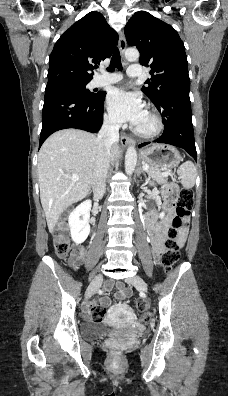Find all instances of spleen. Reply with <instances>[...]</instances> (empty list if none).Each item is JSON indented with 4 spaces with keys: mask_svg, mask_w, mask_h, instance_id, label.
<instances>
[{
    "mask_svg": "<svg viewBox=\"0 0 228 396\" xmlns=\"http://www.w3.org/2000/svg\"><path fill=\"white\" fill-rule=\"evenodd\" d=\"M179 179L184 188L190 189L195 185L196 169L191 161L183 163L177 170Z\"/></svg>",
    "mask_w": 228,
    "mask_h": 396,
    "instance_id": "spleen-1",
    "label": "spleen"
}]
</instances>
